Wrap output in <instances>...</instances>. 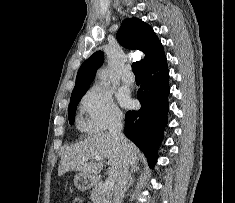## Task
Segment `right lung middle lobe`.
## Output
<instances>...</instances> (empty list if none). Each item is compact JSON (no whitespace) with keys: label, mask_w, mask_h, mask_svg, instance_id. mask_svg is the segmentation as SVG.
<instances>
[{"label":"right lung middle lobe","mask_w":235,"mask_h":203,"mask_svg":"<svg viewBox=\"0 0 235 203\" xmlns=\"http://www.w3.org/2000/svg\"><path fill=\"white\" fill-rule=\"evenodd\" d=\"M86 91H87V89L71 95L69 112H68L70 124L74 123V117H75L77 105H78L79 101L81 100L82 96L86 93Z\"/></svg>","instance_id":"obj_1"}]
</instances>
